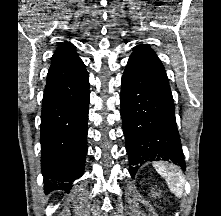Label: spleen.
I'll return each mask as SVG.
<instances>
[{
  "label": "spleen",
  "instance_id": "spleen-1",
  "mask_svg": "<svg viewBox=\"0 0 221 216\" xmlns=\"http://www.w3.org/2000/svg\"><path fill=\"white\" fill-rule=\"evenodd\" d=\"M156 171L165 179L170 191L178 198L184 193L185 179L182 171L175 165H166L162 162L154 163Z\"/></svg>",
  "mask_w": 221,
  "mask_h": 216
}]
</instances>
